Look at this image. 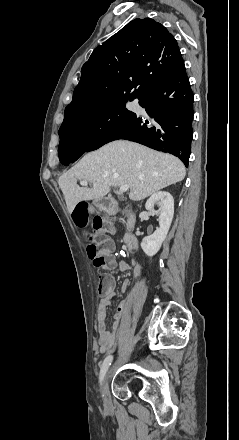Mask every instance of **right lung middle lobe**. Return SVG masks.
I'll return each instance as SVG.
<instances>
[{"instance_id":"dd1d6c3e","label":"right lung middle lobe","mask_w":239,"mask_h":440,"mask_svg":"<svg viewBox=\"0 0 239 440\" xmlns=\"http://www.w3.org/2000/svg\"><path fill=\"white\" fill-rule=\"evenodd\" d=\"M134 99L114 98L97 109L63 121L58 132V150L64 147H87L99 135L124 122L133 114L125 109V103Z\"/></svg>"}]
</instances>
